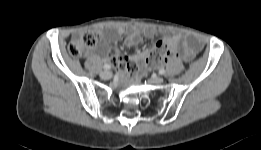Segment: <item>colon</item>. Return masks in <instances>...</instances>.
<instances>
[{"label": "colon", "mask_w": 261, "mask_h": 150, "mask_svg": "<svg viewBox=\"0 0 261 150\" xmlns=\"http://www.w3.org/2000/svg\"><path fill=\"white\" fill-rule=\"evenodd\" d=\"M100 37V33L96 31H86L82 33L78 38L69 44V54L74 58H81L85 56L89 50L97 45ZM175 55V52L168 46L166 42H157L147 53L145 62L143 63V68L140 73H142L147 66L156 67L174 58Z\"/></svg>", "instance_id": "obj_1"}]
</instances>
